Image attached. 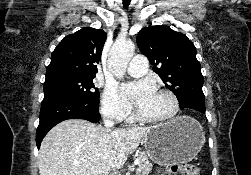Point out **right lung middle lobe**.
<instances>
[{"label": "right lung middle lobe", "mask_w": 251, "mask_h": 175, "mask_svg": "<svg viewBox=\"0 0 251 175\" xmlns=\"http://www.w3.org/2000/svg\"><path fill=\"white\" fill-rule=\"evenodd\" d=\"M94 77L69 75L46 77L44 94L55 91L68 93L84 99L99 97V91L93 84Z\"/></svg>", "instance_id": "1"}]
</instances>
